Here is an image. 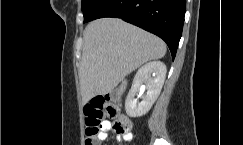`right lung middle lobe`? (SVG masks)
I'll list each match as a JSON object with an SVG mask.
<instances>
[{"label":"right lung middle lobe","mask_w":243,"mask_h":145,"mask_svg":"<svg viewBox=\"0 0 243 145\" xmlns=\"http://www.w3.org/2000/svg\"><path fill=\"white\" fill-rule=\"evenodd\" d=\"M92 2L93 0H82V11H84Z\"/></svg>","instance_id":"right-lung-middle-lobe-1"}]
</instances>
